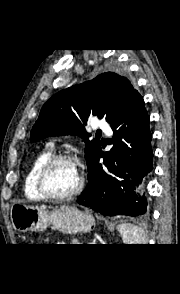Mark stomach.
<instances>
[{"label": "stomach", "instance_id": "obj_1", "mask_svg": "<svg viewBox=\"0 0 180 294\" xmlns=\"http://www.w3.org/2000/svg\"><path fill=\"white\" fill-rule=\"evenodd\" d=\"M11 221L21 232L43 231L52 224L63 233L75 234L89 232L95 226V220L88 212L66 205L49 212L40 206L16 203L11 207Z\"/></svg>", "mask_w": 180, "mask_h": 294}]
</instances>
